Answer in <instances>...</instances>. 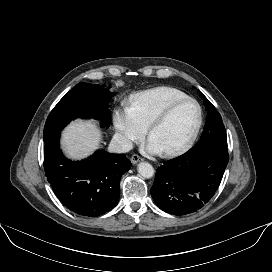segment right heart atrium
Wrapping results in <instances>:
<instances>
[{
  "mask_svg": "<svg viewBox=\"0 0 272 272\" xmlns=\"http://www.w3.org/2000/svg\"><path fill=\"white\" fill-rule=\"evenodd\" d=\"M114 126L120 144L129 148L146 133L144 127L129 107L119 108L114 114Z\"/></svg>",
  "mask_w": 272,
  "mask_h": 272,
  "instance_id": "d8ad5b80",
  "label": "right heart atrium"
}]
</instances>
